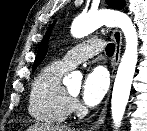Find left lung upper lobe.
<instances>
[{
  "label": "left lung upper lobe",
  "instance_id": "5c2ea615",
  "mask_svg": "<svg viewBox=\"0 0 147 131\" xmlns=\"http://www.w3.org/2000/svg\"><path fill=\"white\" fill-rule=\"evenodd\" d=\"M107 4L114 9H120L123 8L125 5L124 0H106ZM54 24H52L50 26V28L48 29L44 39L42 40L39 49H38V53L36 56V59L34 61V65H33V70H35L37 68V66L42 62V60L44 59L47 49H48V39L51 33V30L53 28Z\"/></svg>",
  "mask_w": 147,
  "mask_h": 131
}]
</instances>
